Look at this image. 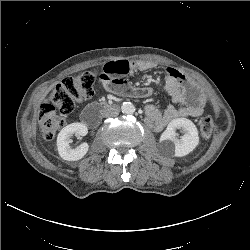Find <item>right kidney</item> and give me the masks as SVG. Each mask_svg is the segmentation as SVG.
I'll list each match as a JSON object with an SVG mask.
<instances>
[{
	"instance_id": "right-kidney-1",
	"label": "right kidney",
	"mask_w": 250,
	"mask_h": 250,
	"mask_svg": "<svg viewBox=\"0 0 250 250\" xmlns=\"http://www.w3.org/2000/svg\"><path fill=\"white\" fill-rule=\"evenodd\" d=\"M88 133V128L85 124L75 122L64 127L57 137V148L61 158L67 161H77L82 159L88 151V144L82 143L78 147L72 149L70 143L71 137L75 134L77 136H85Z\"/></svg>"
}]
</instances>
